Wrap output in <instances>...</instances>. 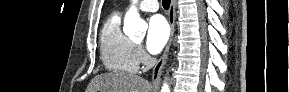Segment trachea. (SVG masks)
I'll return each instance as SVG.
<instances>
[{
	"mask_svg": "<svg viewBox=\"0 0 289 92\" xmlns=\"http://www.w3.org/2000/svg\"><path fill=\"white\" fill-rule=\"evenodd\" d=\"M171 0H163L162 5L164 9H168L170 7Z\"/></svg>",
	"mask_w": 289,
	"mask_h": 92,
	"instance_id": "3493384b",
	"label": "trachea"
}]
</instances>
